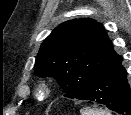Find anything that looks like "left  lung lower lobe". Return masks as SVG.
I'll list each match as a JSON object with an SVG mask.
<instances>
[{
	"label": "left lung lower lobe",
	"mask_w": 131,
	"mask_h": 115,
	"mask_svg": "<svg viewBox=\"0 0 131 115\" xmlns=\"http://www.w3.org/2000/svg\"><path fill=\"white\" fill-rule=\"evenodd\" d=\"M76 99L106 105L120 115H131V92L122 62L92 81Z\"/></svg>",
	"instance_id": "obj_1"
}]
</instances>
